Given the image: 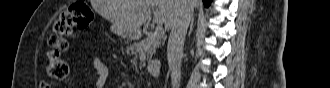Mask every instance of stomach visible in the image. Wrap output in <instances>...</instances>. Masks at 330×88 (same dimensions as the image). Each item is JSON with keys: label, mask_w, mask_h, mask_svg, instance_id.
Masks as SVG:
<instances>
[{"label": "stomach", "mask_w": 330, "mask_h": 88, "mask_svg": "<svg viewBox=\"0 0 330 88\" xmlns=\"http://www.w3.org/2000/svg\"><path fill=\"white\" fill-rule=\"evenodd\" d=\"M122 35V37H124V38H134V35L133 34H131V33H122L121 34Z\"/></svg>", "instance_id": "1"}]
</instances>
